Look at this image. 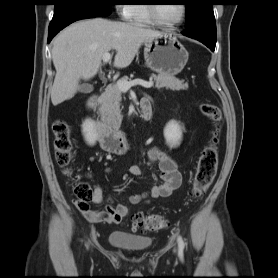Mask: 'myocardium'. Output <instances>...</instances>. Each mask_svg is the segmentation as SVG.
Wrapping results in <instances>:
<instances>
[{
  "label": "myocardium",
  "mask_w": 278,
  "mask_h": 278,
  "mask_svg": "<svg viewBox=\"0 0 278 278\" xmlns=\"http://www.w3.org/2000/svg\"><path fill=\"white\" fill-rule=\"evenodd\" d=\"M156 6L153 4H148L147 5V10H148V15L151 20V22L157 26H160L162 28H167V29H173L177 26H179L185 19L186 14H187V6L185 4H181V15L179 19L173 23H164L162 22L156 15Z\"/></svg>",
  "instance_id": "f54148a6"
}]
</instances>
